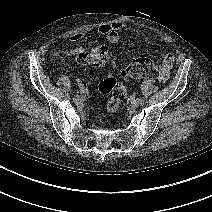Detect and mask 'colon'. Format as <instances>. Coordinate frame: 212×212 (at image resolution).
Instances as JSON below:
<instances>
[{
  "label": "colon",
  "mask_w": 212,
  "mask_h": 212,
  "mask_svg": "<svg viewBox=\"0 0 212 212\" xmlns=\"http://www.w3.org/2000/svg\"><path fill=\"white\" fill-rule=\"evenodd\" d=\"M108 58V49L104 45H96L88 51L79 55V60L86 66L101 68ZM124 81L130 82L141 78H160V70L157 65L148 57H139L132 61L122 72ZM99 91L104 95H109L108 111L115 113L120 104L126 99V87L120 84L113 76H105L100 84Z\"/></svg>",
  "instance_id": "1"
}]
</instances>
